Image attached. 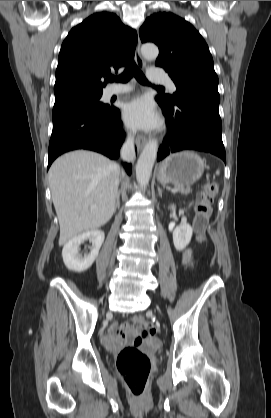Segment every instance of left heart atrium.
<instances>
[{
	"label": "left heart atrium",
	"instance_id": "1",
	"mask_svg": "<svg viewBox=\"0 0 271 418\" xmlns=\"http://www.w3.org/2000/svg\"><path fill=\"white\" fill-rule=\"evenodd\" d=\"M123 119L131 129L151 130L159 125L152 103L146 98H139L126 104Z\"/></svg>",
	"mask_w": 271,
	"mask_h": 418
}]
</instances>
